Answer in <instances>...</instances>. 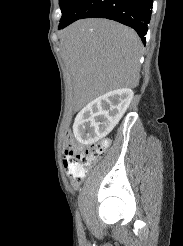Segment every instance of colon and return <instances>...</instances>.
Returning <instances> with one entry per match:
<instances>
[{
	"label": "colon",
	"mask_w": 183,
	"mask_h": 246,
	"mask_svg": "<svg viewBox=\"0 0 183 246\" xmlns=\"http://www.w3.org/2000/svg\"><path fill=\"white\" fill-rule=\"evenodd\" d=\"M108 147V141L102 140L86 148L78 147L69 133L63 146L66 158L64 166L75 180L84 176L85 167L100 159Z\"/></svg>",
	"instance_id": "1"
}]
</instances>
